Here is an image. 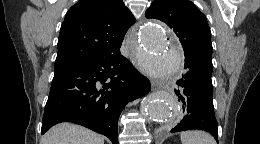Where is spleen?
Wrapping results in <instances>:
<instances>
[{"instance_id":"spleen-1","label":"spleen","mask_w":260,"mask_h":144,"mask_svg":"<svg viewBox=\"0 0 260 144\" xmlns=\"http://www.w3.org/2000/svg\"><path fill=\"white\" fill-rule=\"evenodd\" d=\"M180 137L182 144H216L214 138L204 131H186Z\"/></svg>"}]
</instances>
